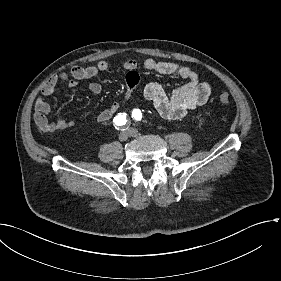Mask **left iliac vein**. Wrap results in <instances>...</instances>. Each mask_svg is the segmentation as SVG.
<instances>
[{"label": "left iliac vein", "instance_id": "4c4485c4", "mask_svg": "<svg viewBox=\"0 0 281 281\" xmlns=\"http://www.w3.org/2000/svg\"><path fill=\"white\" fill-rule=\"evenodd\" d=\"M128 131L131 137H136L138 135V131L134 128H130Z\"/></svg>", "mask_w": 281, "mask_h": 281}]
</instances>
